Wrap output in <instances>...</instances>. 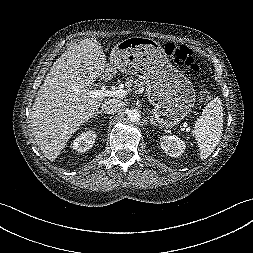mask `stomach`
Wrapping results in <instances>:
<instances>
[{"mask_svg":"<svg viewBox=\"0 0 253 253\" xmlns=\"http://www.w3.org/2000/svg\"><path fill=\"white\" fill-rule=\"evenodd\" d=\"M111 60L118 69L145 81L153 115L160 126H176L194 107L192 83L172 66L159 42L130 37L114 47Z\"/></svg>","mask_w":253,"mask_h":253,"instance_id":"obj_1","label":"stomach"}]
</instances>
